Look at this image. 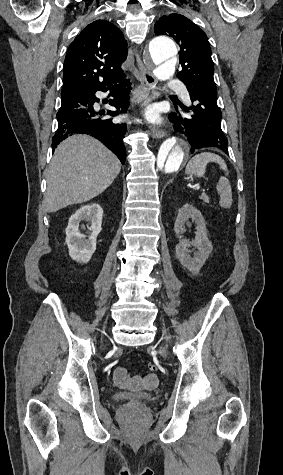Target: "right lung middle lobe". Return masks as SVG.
<instances>
[{
  "label": "right lung middle lobe",
  "mask_w": 283,
  "mask_h": 475,
  "mask_svg": "<svg viewBox=\"0 0 283 475\" xmlns=\"http://www.w3.org/2000/svg\"><path fill=\"white\" fill-rule=\"evenodd\" d=\"M72 91L71 89H62L61 95L66 94L68 92Z\"/></svg>",
  "instance_id": "obj_1"
}]
</instances>
